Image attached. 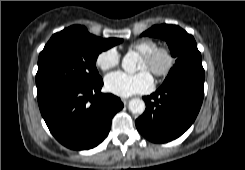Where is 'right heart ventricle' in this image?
Masks as SVG:
<instances>
[{"mask_svg":"<svg viewBox=\"0 0 245 170\" xmlns=\"http://www.w3.org/2000/svg\"><path fill=\"white\" fill-rule=\"evenodd\" d=\"M158 46V43L152 39H140L138 41L130 44L129 48L138 52L139 54H144L151 51Z\"/></svg>","mask_w":245,"mask_h":170,"instance_id":"obj_1","label":"right heart ventricle"}]
</instances>
